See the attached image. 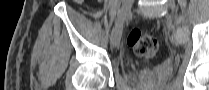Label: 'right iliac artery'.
<instances>
[{"mask_svg": "<svg viewBox=\"0 0 209 90\" xmlns=\"http://www.w3.org/2000/svg\"><path fill=\"white\" fill-rule=\"evenodd\" d=\"M120 13H121V12H120V11H118V14H117V16H118V17L120 16Z\"/></svg>", "mask_w": 209, "mask_h": 90, "instance_id": "82829eb1", "label": "right iliac artery"}]
</instances>
